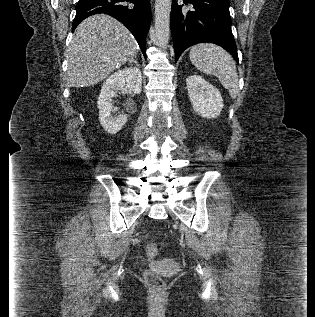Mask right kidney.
Returning a JSON list of instances; mask_svg holds the SVG:
<instances>
[{"label":"right kidney","mask_w":315,"mask_h":317,"mask_svg":"<svg viewBox=\"0 0 315 317\" xmlns=\"http://www.w3.org/2000/svg\"><path fill=\"white\" fill-rule=\"evenodd\" d=\"M134 94L141 93L142 75L138 68H125L109 76L104 82L97 101L99 108V121L104 130L109 134H116L127 122V115L120 114L113 116L112 98L116 96L117 91H125Z\"/></svg>","instance_id":"ca27d5eb"}]
</instances>
